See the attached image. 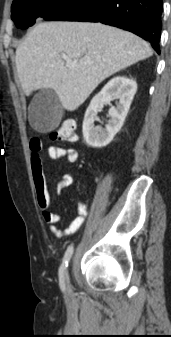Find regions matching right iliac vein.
Masks as SVG:
<instances>
[{
  "mask_svg": "<svg viewBox=\"0 0 171 337\" xmlns=\"http://www.w3.org/2000/svg\"><path fill=\"white\" fill-rule=\"evenodd\" d=\"M70 293H71V290L68 288V289H67V295L69 296Z\"/></svg>",
  "mask_w": 171,
  "mask_h": 337,
  "instance_id": "1",
  "label": "right iliac vein"
}]
</instances>
